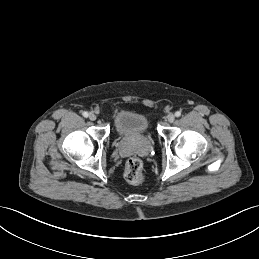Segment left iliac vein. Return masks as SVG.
I'll return each instance as SVG.
<instances>
[{
	"instance_id": "4c4485c4",
	"label": "left iliac vein",
	"mask_w": 259,
	"mask_h": 259,
	"mask_svg": "<svg viewBox=\"0 0 259 259\" xmlns=\"http://www.w3.org/2000/svg\"><path fill=\"white\" fill-rule=\"evenodd\" d=\"M168 122L172 123L175 120V116L173 114L168 115L167 117Z\"/></svg>"
}]
</instances>
